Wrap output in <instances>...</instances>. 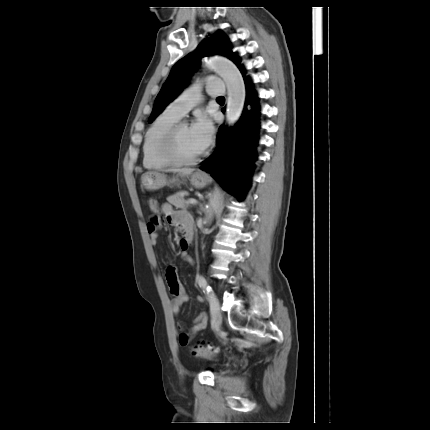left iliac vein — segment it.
<instances>
[{"label":"left iliac vein","mask_w":430,"mask_h":430,"mask_svg":"<svg viewBox=\"0 0 430 430\" xmlns=\"http://www.w3.org/2000/svg\"><path fill=\"white\" fill-rule=\"evenodd\" d=\"M211 314H212V323L216 328H220L221 323H222V316L220 313V306H219V302L217 301V303L211 307Z\"/></svg>","instance_id":"4c4485c4"}]
</instances>
